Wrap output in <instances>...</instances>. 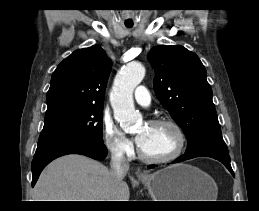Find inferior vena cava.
Instances as JSON below:
<instances>
[{"label":"inferior vena cava","instance_id":"602c4592","mask_svg":"<svg viewBox=\"0 0 259 211\" xmlns=\"http://www.w3.org/2000/svg\"><path fill=\"white\" fill-rule=\"evenodd\" d=\"M129 170V162L124 154L118 150H112L111 156V176L116 184L123 182Z\"/></svg>","mask_w":259,"mask_h":211}]
</instances>
